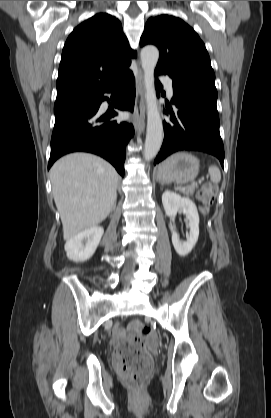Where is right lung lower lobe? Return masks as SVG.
Listing matches in <instances>:
<instances>
[{
  "instance_id": "1",
  "label": "right lung lower lobe",
  "mask_w": 271,
  "mask_h": 418,
  "mask_svg": "<svg viewBox=\"0 0 271 418\" xmlns=\"http://www.w3.org/2000/svg\"><path fill=\"white\" fill-rule=\"evenodd\" d=\"M105 92L117 94L116 108L133 111L135 80L128 70L95 99L56 112L48 169L61 156L83 151L105 158L124 175L125 146L134 128L130 123L110 120L116 112L99 111L101 103L108 100L103 95Z\"/></svg>"
}]
</instances>
